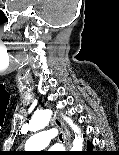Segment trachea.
<instances>
[{
	"mask_svg": "<svg viewBox=\"0 0 119 155\" xmlns=\"http://www.w3.org/2000/svg\"><path fill=\"white\" fill-rule=\"evenodd\" d=\"M59 139L63 141L62 134L59 135Z\"/></svg>",
	"mask_w": 119,
	"mask_h": 155,
	"instance_id": "obj_1",
	"label": "trachea"
}]
</instances>
